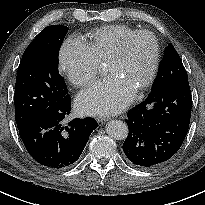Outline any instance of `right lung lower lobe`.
Masks as SVG:
<instances>
[{"label": "right lung lower lobe", "instance_id": "1", "mask_svg": "<svg viewBox=\"0 0 205 205\" xmlns=\"http://www.w3.org/2000/svg\"><path fill=\"white\" fill-rule=\"evenodd\" d=\"M70 111L69 97L60 104L49 106L18 128L28 153L48 169L61 170L72 166L98 126L91 117L76 118L64 126L63 120Z\"/></svg>", "mask_w": 205, "mask_h": 205}]
</instances>
